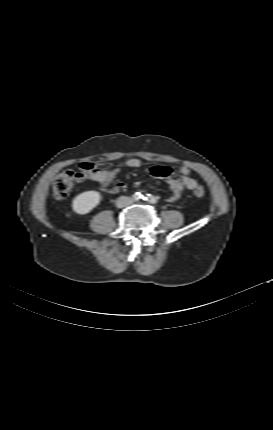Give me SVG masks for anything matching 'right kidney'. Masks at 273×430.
I'll return each mask as SVG.
<instances>
[{"label": "right kidney", "mask_w": 273, "mask_h": 430, "mask_svg": "<svg viewBox=\"0 0 273 430\" xmlns=\"http://www.w3.org/2000/svg\"><path fill=\"white\" fill-rule=\"evenodd\" d=\"M98 191L90 190L75 196L72 201V209L75 213L85 215L92 211L101 201Z\"/></svg>", "instance_id": "1"}]
</instances>
